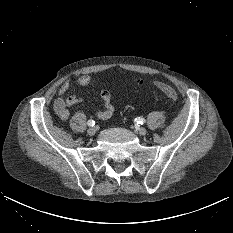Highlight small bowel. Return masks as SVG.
Returning a JSON list of instances; mask_svg holds the SVG:
<instances>
[{"mask_svg": "<svg viewBox=\"0 0 233 233\" xmlns=\"http://www.w3.org/2000/svg\"><path fill=\"white\" fill-rule=\"evenodd\" d=\"M93 84L92 78L89 75H81L77 79V85L81 87L90 86ZM70 88V81H64L58 89L57 99L54 102V112L63 121L67 120L70 111L69 109L81 102V98L76 95H70L64 98V94ZM101 98V110L95 113L96 117L100 120L109 119L114 113V107L112 105V94L107 89L100 91Z\"/></svg>", "mask_w": 233, "mask_h": 233, "instance_id": "obj_1", "label": "small bowel"}]
</instances>
